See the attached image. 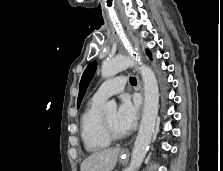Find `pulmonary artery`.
Listing matches in <instances>:
<instances>
[{"mask_svg": "<svg viewBox=\"0 0 223 171\" xmlns=\"http://www.w3.org/2000/svg\"><path fill=\"white\" fill-rule=\"evenodd\" d=\"M126 79L123 76L111 78L103 82L95 91L93 98L98 100H105L110 96L119 94L124 90Z\"/></svg>", "mask_w": 223, "mask_h": 171, "instance_id": "1", "label": "pulmonary artery"}]
</instances>
